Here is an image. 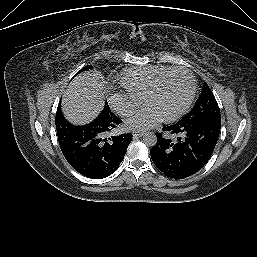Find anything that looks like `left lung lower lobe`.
I'll use <instances>...</instances> for the list:
<instances>
[{
  "label": "left lung lower lobe",
  "instance_id": "left-lung-lower-lobe-1",
  "mask_svg": "<svg viewBox=\"0 0 257 257\" xmlns=\"http://www.w3.org/2000/svg\"><path fill=\"white\" fill-rule=\"evenodd\" d=\"M221 121L195 124L179 120L156 133L157 142L150 154L156 167L165 176L184 179L199 171L210 159L216 146Z\"/></svg>",
  "mask_w": 257,
  "mask_h": 257
}]
</instances>
